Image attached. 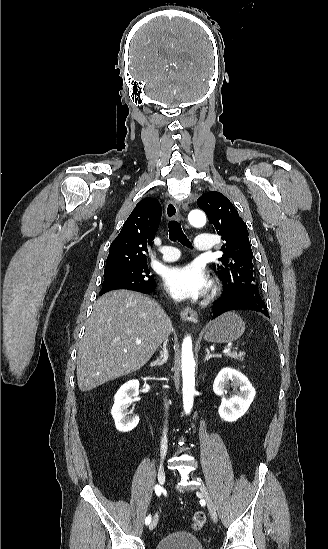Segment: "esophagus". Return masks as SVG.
Here are the masks:
<instances>
[{
  "instance_id": "1",
  "label": "esophagus",
  "mask_w": 328,
  "mask_h": 549,
  "mask_svg": "<svg viewBox=\"0 0 328 549\" xmlns=\"http://www.w3.org/2000/svg\"><path fill=\"white\" fill-rule=\"evenodd\" d=\"M165 214L168 220L180 219L179 210L174 200H169L167 202ZM180 315H181V318L185 321H188V322L198 321V313L192 307H186L181 311Z\"/></svg>"
}]
</instances>
